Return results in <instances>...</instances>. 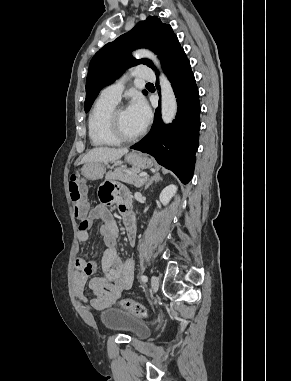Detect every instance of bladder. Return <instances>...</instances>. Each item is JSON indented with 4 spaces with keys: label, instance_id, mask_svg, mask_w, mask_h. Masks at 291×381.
Instances as JSON below:
<instances>
[{
    "label": "bladder",
    "instance_id": "bladder-1",
    "mask_svg": "<svg viewBox=\"0 0 291 381\" xmlns=\"http://www.w3.org/2000/svg\"><path fill=\"white\" fill-rule=\"evenodd\" d=\"M99 318L106 329L125 332L131 338L142 339L149 335V328L143 321L115 307L100 312Z\"/></svg>",
    "mask_w": 291,
    "mask_h": 381
}]
</instances>
